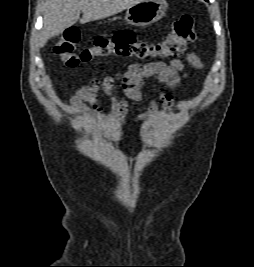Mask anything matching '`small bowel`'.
Segmentation results:
<instances>
[{
  "mask_svg": "<svg viewBox=\"0 0 254 267\" xmlns=\"http://www.w3.org/2000/svg\"><path fill=\"white\" fill-rule=\"evenodd\" d=\"M185 61L195 69L203 67L198 56L192 52L185 55ZM184 63L179 59L172 60L169 64L156 62L131 64L127 70L117 73L112 77L103 80L93 81L90 85L82 86L76 90L70 98V105L77 111L84 110V103H90L95 113L102 119L106 118L98 104L99 92H103L112 101V111L108 116L116 124H124L130 119L128 115V102H139L143 99L144 88L149 79H156L169 88L178 87L186 78ZM121 79V94L115 86V80ZM174 105V98L171 94L161 91L156 100H152L146 111L132 118L140 123L153 117L161 107L169 111Z\"/></svg>",
  "mask_w": 254,
  "mask_h": 267,
  "instance_id": "obj_1",
  "label": "small bowel"
}]
</instances>
